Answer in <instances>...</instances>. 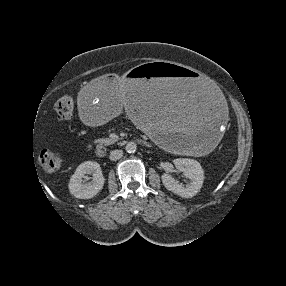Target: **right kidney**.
<instances>
[{
    "mask_svg": "<svg viewBox=\"0 0 286 286\" xmlns=\"http://www.w3.org/2000/svg\"><path fill=\"white\" fill-rule=\"evenodd\" d=\"M92 174V181L85 183L86 175ZM105 178L103 177L100 165L94 161L81 163L69 182V191L79 199H90L97 195L103 188Z\"/></svg>",
    "mask_w": 286,
    "mask_h": 286,
    "instance_id": "obj_1",
    "label": "right kidney"
}]
</instances>
